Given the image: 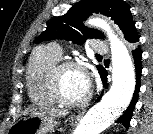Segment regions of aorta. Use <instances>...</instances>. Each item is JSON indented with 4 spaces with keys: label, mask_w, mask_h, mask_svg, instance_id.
<instances>
[{
    "label": "aorta",
    "mask_w": 153,
    "mask_h": 134,
    "mask_svg": "<svg viewBox=\"0 0 153 134\" xmlns=\"http://www.w3.org/2000/svg\"><path fill=\"white\" fill-rule=\"evenodd\" d=\"M89 24L103 29L110 40L112 86L101 101L87 112L74 134H100L103 132L126 109L135 89L134 66L126 46L105 21L92 19Z\"/></svg>",
    "instance_id": "obj_1"
}]
</instances>
